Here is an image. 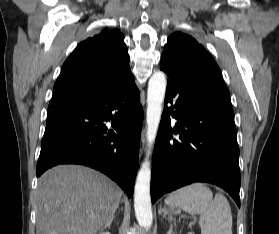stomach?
<instances>
[{
	"mask_svg": "<svg viewBox=\"0 0 279 234\" xmlns=\"http://www.w3.org/2000/svg\"><path fill=\"white\" fill-rule=\"evenodd\" d=\"M162 211L164 215H170L175 212V209L173 207H170V208H164Z\"/></svg>",
	"mask_w": 279,
	"mask_h": 234,
	"instance_id": "stomach-1",
	"label": "stomach"
}]
</instances>
